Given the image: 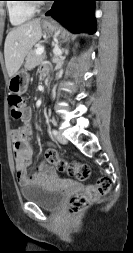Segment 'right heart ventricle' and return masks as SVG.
<instances>
[{"label": "right heart ventricle", "mask_w": 133, "mask_h": 253, "mask_svg": "<svg viewBox=\"0 0 133 253\" xmlns=\"http://www.w3.org/2000/svg\"><path fill=\"white\" fill-rule=\"evenodd\" d=\"M9 20L12 25L19 26L30 20L35 10L22 0H11L7 3Z\"/></svg>", "instance_id": "1"}]
</instances>
